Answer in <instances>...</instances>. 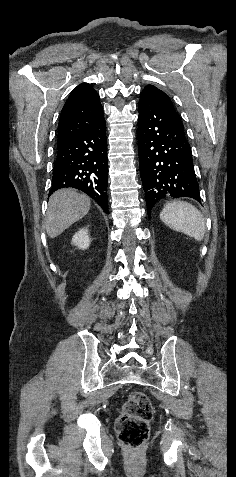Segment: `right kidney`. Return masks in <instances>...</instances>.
<instances>
[{"label": "right kidney", "instance_id": "1", "mask_svg": "<svg viewBox=\"0 0 236 477\" xmlns=\"http://www.w3.org/2000/svg\"><path fill=\"white\" fill-rule=\"evenodd\" d=\"M72 244L77 246L79 249H87L90 244V239L88 235V229H80L72 238Z\"/></svg>", "mask_w": 236, "mask_h": 477}]
</instances>
